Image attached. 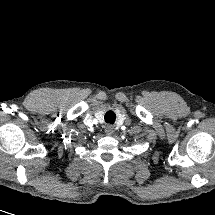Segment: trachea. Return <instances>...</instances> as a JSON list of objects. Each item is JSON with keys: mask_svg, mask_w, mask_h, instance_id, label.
I'll return each mask as SVG.
<instances>
[{"mask_svg": "<svg viewBox=\"0 0 215 215\" xmlns=\"http://www.w3.org/2000/svg\"><path fill=\"white\" fill-rule=\"evenodd\" d=\"M105 122L106 123H110V124H113L115 122V119H116V115L113 111H108L106 114H105Z\"/></svg>", "mask_w": 215, "mask_h": 215, "instance_id": "1", "label": "trachea"}]
</instances>
